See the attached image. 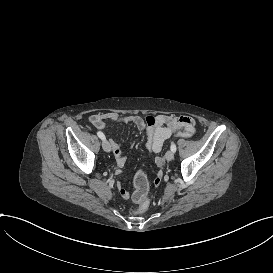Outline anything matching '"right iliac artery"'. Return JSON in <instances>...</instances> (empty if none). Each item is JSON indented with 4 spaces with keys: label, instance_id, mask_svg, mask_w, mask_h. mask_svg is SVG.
<instances>
[{
    "label": "right iliac artery",
    "instance_id": "82829eb1",
    "mask_svg": "<svg viewBox=\"0 0 273 273\" xmlns=\"http://www.w3.org/2000/svg\"><path fill=\"white\" fill-rule=\"evenodd\" d=\"M97 135L99 138H101L102 140H105V135L101 132V131H98L97 132Z\"/></svg>",
    "mask_w": 273,
    "mask_h": 273
}]
</instances>
